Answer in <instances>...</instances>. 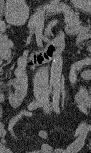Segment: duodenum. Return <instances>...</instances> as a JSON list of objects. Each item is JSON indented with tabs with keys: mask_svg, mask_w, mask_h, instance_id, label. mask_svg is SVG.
<instances>
[{
	"mask_svg": "<svg viewBox=\"0 0 91 153\" xmlns=\"http://www.w3.org/2000/svg\"><path fill=\"white\" fill-rule=\"evenodd\" d=\"M62 44L63 38L58 36L44 48L29 53L27 59L33 65H43L49 62L60 51Z\"/></svg>",
	"mask_w": 91,
	"mask_h": 153,
	"instance_id": "duodenum-1",
	"label": "duodenum"
}]
</instances>
